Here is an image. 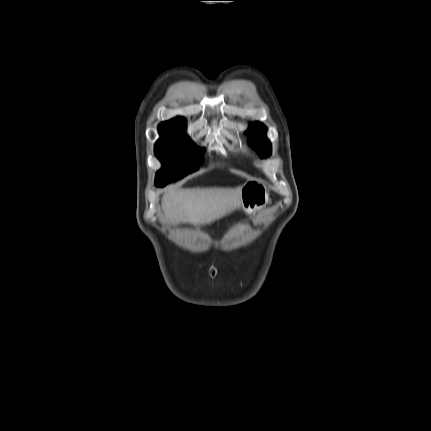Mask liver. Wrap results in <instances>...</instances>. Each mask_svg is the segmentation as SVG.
I'll use <instances>...</instances> for the list:
<instances>
[{
    "label": "liver",
    "mask_w": 431,
    "mask_h": 431,
    "mask_svg": "<svg viewBox=\"0 0 431 431\" xmlns=\"http://www.w3.org/2000/svg\"><path fill=\"white\" fill-rule=\"evenodd\" d=\"M163 209L174 223H210L241 207V187L235 189H180L165 193Z\"/></svg>",
    "instance_id": "liver-1"
}]
</instances>
